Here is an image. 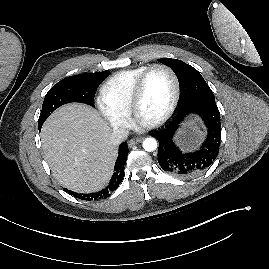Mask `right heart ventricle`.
I'll return each instance as SVG.
<instances>
[{"mask_svg": "<svg viewBox=\"0 0 269 269\" xmlns=\"http://www.w3.org/2000/svg\"><path fill=\"white\" fill-rule=\"evenodd\" d=\"M148 66H138L113 74L101 88V99L111 109L128 115L135 84Z\"/></svg>", "mask_w": 269, "mask_h": 269, "instance_id": "e07e8e85", "label": "right heart ventricle"}]
</instances>
